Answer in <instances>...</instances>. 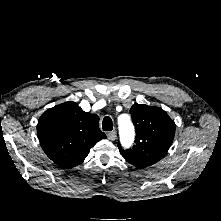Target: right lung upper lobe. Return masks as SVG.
<instances>
[{
    "instance_id": "right-lung-upper-lobe-1",
    "label": "right lung upper lobe",
    "mask_w": 221,
    "mask_h": 221,
    "mask_svg": "<svg viewBox=\"0 0 221 221\" xmlns=\"http://www.w3.org/2000/svg\"><path fill=\"white\" fill-rule=\"evenodd\" d=\"M37 134L46 155L64 169L81 164L91 147L106 138L99 117L84 112L75 102L45 111L38 120Z\"/></svg>"
}]
</instances>
